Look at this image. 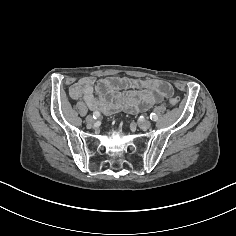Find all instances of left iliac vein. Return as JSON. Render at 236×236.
<instances>
[{
  "label": "left iliac vein",
  "mask_w": 236,
  "mask_h": 236,
  "mask_svg": "<svg viewBox=\"0 0 236 236\" xmlns=\"http://www.w3.org/2000/svg\"><path fill=\"white\" fill-rule=\"evenodd\" d=\"M138 126H139L141 129L146 130V129L150 128L151 122L148 121V120H142V121H140V122L138 123Z\"/></svg>",
  "instance_id": "1"
}]
</instances>
